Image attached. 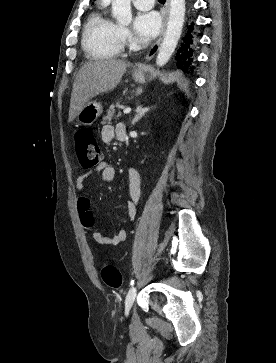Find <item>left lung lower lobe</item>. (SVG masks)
I'll return each instance as SVG.
<instances>
[{
	"mask_svg": "<svg viewBox=\"0 0 276 363\" xmlns=\"http://www.w3.org/2000/svg\"><path fill=\"white\" fill-rule=\"evenodd\" d=\"M193 24L188 27V31L182 38L181 46L175 56L176 66L186 73L192 69L194 62L195 33L193 31Z\"/></svg>",
	"mask_w": 276,
	"mask_h": 363,
	"instance_id": "0a47b994",
	"label": "left lung lower lobe"
}]
</instances>
